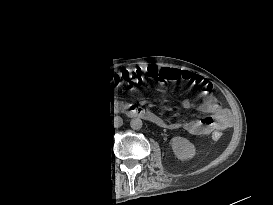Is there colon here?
I'll return each instance as SVG.
<instances>
[{"instance_id": "obj_1", "label": "colon", "mask_w": 273, "mask_h": 205, "mask_svg": "<svg viewBox=\"0 0 273 205\" xmlns=\"http://www.w3.org/2000/svg\"><path fill=\"white\" fill-rule=\"evenodd\" d=\"M161 78H162V80H169V78L167 76L162 75ZM117 80H118L119 83H121L123 85H128V86H133L136 83V79H135L134 75L129 74V73L118 76ZM214 137L218 138L219 134L215 133Z\"/></svg>"}]
</instances>
